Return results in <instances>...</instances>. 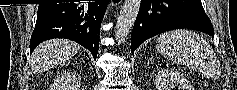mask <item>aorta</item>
I'll return each instance as SVG.
<instances>
[{
    "label": "aorta",
    "instance_id": "aorta-1",
    "mask_svg": "<svg viewBox=\"0 0 237 90\" xmlns=\"http://www.w3.org/2000/svg\"><path fill=\"white\" fill-rule=\"evenodd\" d=\"M140 6L141 0H125L115 26V38L118 44H123L133 30Z\"/></svg>",
    "mask_w": 237,
    "mask_h": 90
}]
</instances>
